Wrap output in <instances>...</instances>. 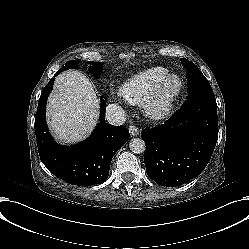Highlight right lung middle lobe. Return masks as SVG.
<instances>
[{"instance_id": "dd1d6c3e", "label": "right lung middle lobe", "mask_w": 249, "mask_h": 249, "mask_svg": "<svg viewBox=\"0 0 249 249\" xmlns=\"http://www.w3.org/2000/svg\"><path fill=\"white\" fill-rule=\"evenodd\" d=\"M80 62V60H71L69 62H67L65 64V67L61 68L60 71L66 70V69H71V68H77L79 65L78 63ZM91 66H90V71L92 72V74L96 77H99L102 69H103V64L102 62H93V61H89L88 62Z\"/></svg>"}]
</instances>
